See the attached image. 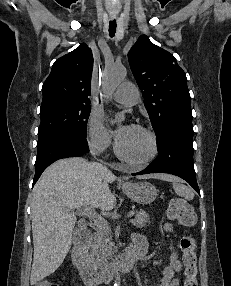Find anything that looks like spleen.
<instances>
[{"label":"spleen","mask_w":231,"mask_h":286,"mask_svg":"<svg viewBox=\"0 0 231 286\" xmlns=\"http://www.w3.org/2000/svg\"><path fill=\"white\" fill-rule=\"evenodd\" d=\"M173 189L178 196L184 197L187 200H192L194 198V193L191 188L180 183L178 179L172 180Z\"/></svg>","instance_id":"3e777b00"}]
</instances>
